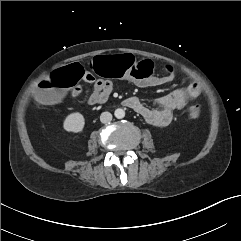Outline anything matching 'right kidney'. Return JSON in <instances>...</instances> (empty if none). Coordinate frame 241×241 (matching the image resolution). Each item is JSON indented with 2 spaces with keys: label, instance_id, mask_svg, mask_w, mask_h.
<instances>
[{
  "label": "right kidney",
  "instance_id": "1",
  "mask_svg": "<svg viewBox=\"0 0 241 241\" xmlns=\"http://www.w3.org/2000/svg\"><path fill=\"white\" fill-rule=\"evenodd\" d=\"M85 126V119L84 116L79 113H71L69 114L63 123V128L67 132H72V133H79L84 129Z\"/></svg>",
  "mask_w": 241,
  "mask_h": 241
}]
</instances>
